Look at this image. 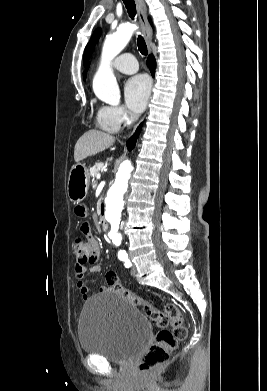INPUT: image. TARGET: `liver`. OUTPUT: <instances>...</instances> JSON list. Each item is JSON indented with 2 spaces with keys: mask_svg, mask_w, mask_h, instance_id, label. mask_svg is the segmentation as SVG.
Returning a JSON list of instances; mask_svg holds the SVG:
<instances>
[{
  "mask_svg": "<svg viewBox=\"0 0 267 391\" xmlns=\"http://www.w3.org/2000/svg\"><path fill=\"white\" fill-rule=\"evenodd\" d=\"M114 142L115 137L108 133L94 129L89 130L76 142L74 160L78 163L89 156L98 154L112 146Z\"/></svg>",
  "mask_w": 267,
  "mask_h": 391,
  "instance_id": "obj_1",
  "label": "liver"
}]
</instances>
